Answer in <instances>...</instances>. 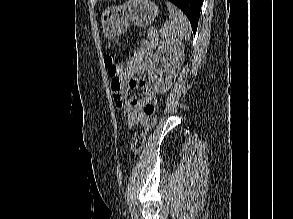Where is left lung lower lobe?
Here are the masks:
<instances>
[{"label": "left lung lower lobe", "instance_id": "0a47b994", "mask_svg": "<svg viewBox=\"0 0 293 219\" xmlns=\"http://www.w3.org/2000/svg\"><path fill=\"white\" fill-rule=\"evenodd\" d=\"M178 6L189 18L192 30L196 33L203 0H169Z\"/></svg>", "mask_w": 293, "mask_h": 219}]
</instances>
